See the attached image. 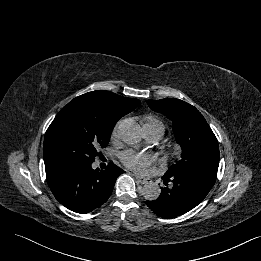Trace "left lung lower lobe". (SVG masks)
<instances>
[{
	"mask_svg": "<svg viewBox=\"0 0 261 261\" xmlns=\"http://www.w3.org/2000/svg\"><path fill=\"white\" fill-rule=\"evenodd\" d=\"M164 184L173 183L172 188H161L160 196L154 201H146L147 206L158 216L174 218L196 207L209 193L216 177L196 170L164 174Z\"/></svg>",
	"mask_w": 261,
	"mask_h": 261,
	"instance_id": "1",
	"label": "left lung lower lobe"
}]
</instances>
